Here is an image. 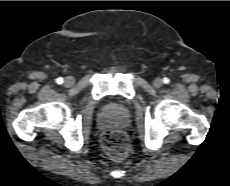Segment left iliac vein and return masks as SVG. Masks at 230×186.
<instances>
[{
	"instance_id": "4c4485c4",
	"label": "left iliac vein",
	"mask_w": 230,
	"mask_h": 186,
	"mask_svg": "<svg viewBox=\"0 0 230 186\" xmlns=\"http://www.w3.org/2000/svg\"><path fill=\"white\" fill-rule=\"evenodd\" d=\"M163 85V80L161 78H155L153 81V86L155 88H160Z\"/></svg>"
}]
</instances>
